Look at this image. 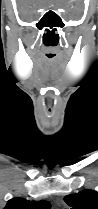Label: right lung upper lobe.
I'll return each mask as SVG.
<instances>
[{
    "label": "right lung upper lobe",
    "instance_id": "1",
    "mask_svg": "<svg viewBox=\"0 0 98 209\" xmlns=\"http://www.w3.org/2000/svg\"><path fill=\"white\" fill-rule=\"evenodd\" d=\"M47 201H29L23 198H13L8 201L4 209H50Z\"/></svg>",
    "mask_w": 98,
    "mask_h": 209
}]
</instances>
